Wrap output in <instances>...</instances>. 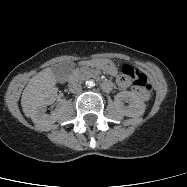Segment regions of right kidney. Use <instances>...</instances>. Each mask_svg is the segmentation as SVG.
<instances>
[{"instance_id":"ca27d5eb","label":"right kidney","mask_w":187,"mask_h":187,"mask_svg":"<svg viewBox=\"0 0 187 187\" xmlns=\"http://www.w3.org/2000/svg\"><path fill=\"white\" fill-rule=\"evenodd\" d=\"M56 94H57L56 88L49 90L45 94L43 104L36 112L35 118L33 120L34 123H36L41 127H49L51 124L57 121V119L60 117V115L63 112L62 107L55 109L50 115L45 114V107L47 105L54 103Z\"/></svg>"}]
</instances>
